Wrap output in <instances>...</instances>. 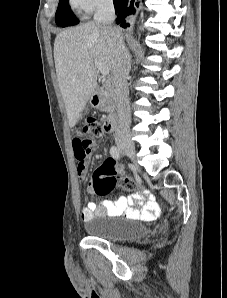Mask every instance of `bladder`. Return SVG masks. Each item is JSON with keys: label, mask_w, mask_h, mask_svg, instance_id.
I'll return each instance as SVG.
<instances>
[{"label": "bladder", "mask_w": 227, "mask_h": 298, "mask_svg": "<svg viewBox=\"0 0 227 298\" xmlns=\"http://www.w3.org/2000/svg\"><path fill=\"white\" fill-rule=\"evenodd\" d=\"M85 231L91 237L107 241H130L146 237L148 228L128 219H107L95 217L85 224Z\"/></svg>", "instance_id": "bladder-1"}]
</instances>
